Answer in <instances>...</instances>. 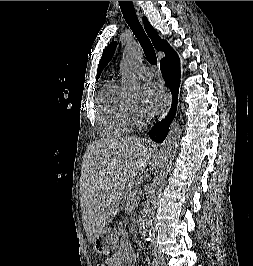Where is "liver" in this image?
<instances>
[{"mask_svg":"<svg viewBox=\"0 0 253 266\" xmlns=\"http://www.w3.org/2000/svg\"><path fill=\"white\" fill-rule=\"evenodd\" d=\"M154 150L153 143L133 136L89 144L82 162L81 210L90 243L117 215L124 190L145 171Z\"/></svg>","mask_w":253,"mask_h":266,"instance_id":"1","label":"liver"}]
</instances>
